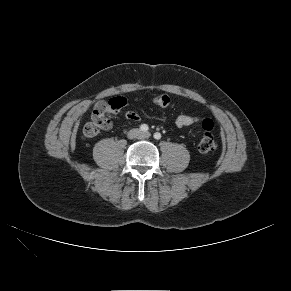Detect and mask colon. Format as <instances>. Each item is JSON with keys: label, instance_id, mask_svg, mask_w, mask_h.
Returning <instances> with one entry per match:
<instances>
[{"label": "colon", "instance_id": "obj_1", "mask_svg": "<svg viewBox=\"0 0 291 291\" xmlns=\"http://www.w3.org/2000/svg\"><path fill=\"white\" fill-rule=\"evenodd\" d=\"M146 102H155L159 107L166 108L170 105V98L167 95L148 96ZM129 103V97L126 94L117 96L109 101L108 105L101 111L94 113L92 120L85 124L83 133L86 137H95L100 132L107 130L111 126L110 116L113 113L120 112L123 107ZM214 124L209 118L202 121L203 134L199 141V151L203 154H211L217 149V141L213 135Z\"/></svg>", "mask_w": 291, "mask_h": 291}]
</instances>
